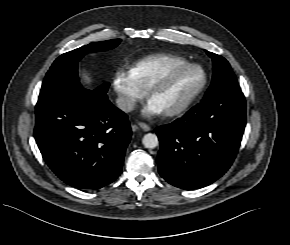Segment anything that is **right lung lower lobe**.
<instances>
[{"label":"right lung lower lobe","instance_id":"98d812e1","mask_svg":"<svg viewBox=\"0 0 290 245\" xmlns=\"http://www.w3.org/2000/svg\"><path fill=\"white\" fill-rule=\"evenodd\" d=\"M34 135L51 170L80 189H99L122 170L131 138L128 116L99 88L79 86L38 99Z\"/></svg>","mask_w":290,"mask_h":245}]
</instances>
